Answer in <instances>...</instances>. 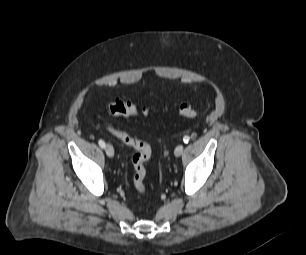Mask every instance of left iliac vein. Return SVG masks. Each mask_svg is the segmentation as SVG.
I'll list each match as a JSON object with an SVG mask.
<instances>
[{
	"label": "left iliac vein",
	"instance_id": "obj_1",
	"mask_svg": "<svg viewBox=\"0 0 306 255\" xmlns=\"http://www.w3.org/2000/svg\"><path fill=\"white\" fill-rule=\"evenodd\" d=\"M183 150H184L183 145H178V146L175 148V151H174L175 156H176V157L181 156V154L183 153Z\"/></svg>",
	"mask_w": 306,
	"mask_h": 255
}]
</instances>
